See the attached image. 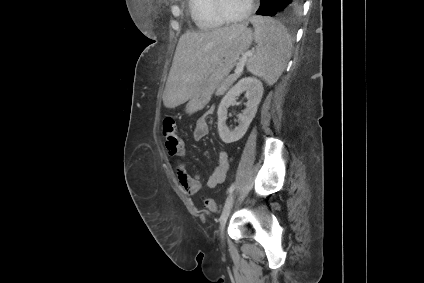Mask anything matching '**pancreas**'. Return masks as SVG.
<instances>
[{
    "mask_svg": "<svg viewBox=\"0 0 424 283\" xmlns=\"http://www.w3.org/2000/svg\"><path fill=\"white\" fill-rule=\"evenodd\" d=\"M240 74H233L226 77L217 87L216 96L224 95L230 86L239 78Z\"/></svg>",
    "mask_w": 424,
    "mask_h": 283,
    "instance_id": "cf45deb5",
    "label": "pancreas"
}]
</instances>
